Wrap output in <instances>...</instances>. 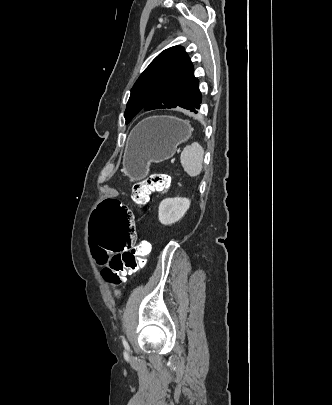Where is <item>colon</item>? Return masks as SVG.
Instances as JSON below:
<instances>
[{
  "instance_id": "obj_1",
  "label": "colon",
  "mask_w": 332,
  "mask_h": 405,
  "mask_svg": "<svg viewBox=\"0 0 332 405\" xmlns=\"http://www.w3.org/2000/svg\"><path fill=\"white\" fill-rule=\"evenodd\" d=\"M171 187V178L164 173H154L137 182L131 192L132 200L145 204L151 192H166ZM134 216L126 202L118 197H105L104 202H96V211H91L92 229L89 257H114L95 259V268H106L104 279L119 288L128 274L137 272L145 264L150 251V243L141 241L134 246L139 234L134 227ZM116 295L120 290L116 289Z\"/></svg>"
}]
</instances>
